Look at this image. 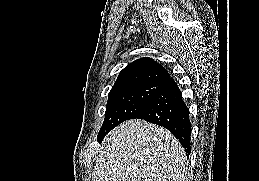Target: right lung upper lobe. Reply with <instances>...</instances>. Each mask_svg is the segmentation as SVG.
I'll list each match as a JSON object with an SVG mask.
<instances>
[{"label":"right lung upper lobe","mask_w":259,"mask_h":181,"mask_svg":"<svg viewBox=\"0 0 259 181\" xmlns=\"http://www.w3.org/2000/svg\"><path fill=\"white\" fill-rule=\"evenodd\" d=\"M169 76L161 64L151 58L144 57L128 64L119 73L112 88L138 84L161 85Z\"/></svg>","instance_id":"1"}]
</instances>
